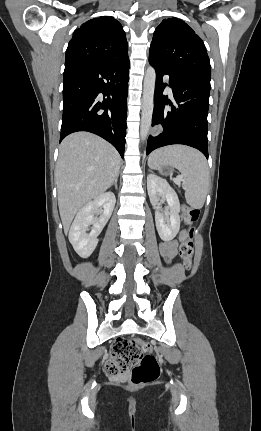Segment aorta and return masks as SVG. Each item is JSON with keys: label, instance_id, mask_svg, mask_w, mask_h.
<instances>
[{"label": "aorta", "instance_id": "1", "mask_svg": "<svg viewBox=\"0 0 261 431\" xmlns=\"http://www.w3.org/2000/svg\"><path fill=\"white\" fill-rule=\"evenodd\" d=\"M156 72L153 67H148L145 72L143 85V107L141 116V139L145 140L152 122L154 108V91H155Z\"/></svg>", "mask_w": 261, "mask_h": 431}]
</instances>
